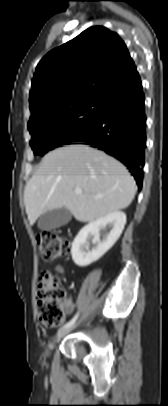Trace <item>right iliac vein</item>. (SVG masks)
Returning a JSON list of instances; mask_svg holds the SVG:
<instances>
[{"label": "right iliac vein", "mask_w": 168, "mask_h": 406, "mask_svg": "<svg viewBox=\"0 0 168 406\" xmlns=\"http://www.w3.org/2000/svg\"><path fill=\"white\" fill-rule=\"evenodd\" d=\"M75 326H76V324H73L70 327L61 328L60 330H58V332L56 334L55 342L59 341L64 335H66L68 332H70Z\"/></svg>", "instance_id": "obj_1"}]
</instances>
